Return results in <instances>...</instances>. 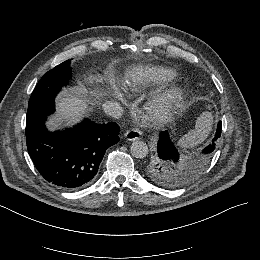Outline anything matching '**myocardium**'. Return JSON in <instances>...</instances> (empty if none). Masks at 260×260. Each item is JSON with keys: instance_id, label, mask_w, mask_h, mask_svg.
Instances as JSON below:
<instances>
[{"instance_id": "f54148a6", "label": "myocardium", "mask_w": 260, "mask_h": 260, "mask_svg": "<svg viewBox=\"0 0 260 260\" xmlns=\"http://www.w3.org/2000/svg\"><path fill=\"white\" fill-rule=\"evenodd\" d=\"M188 97V88L184 85H176L157 95L154 100L145 107V110L152 122H164L174 110L187 102Z\"/></svg>"}]
</instances>
